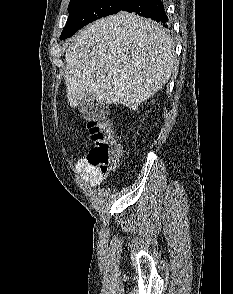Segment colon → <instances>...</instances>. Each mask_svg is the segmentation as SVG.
<instances>
[{
	"mask_svg": "<svg viewBox=\"0 0 233 294\" xmlns=\"http://www.w3.org/2000/svg\"><path fill=\"white\" fill-rule=\"evenodd\" d=\"M93 146L87 153L90 166L101 174L114 168L121 155V145L117 142L113 126L107 121L92 120L87 123Z\"/></svg>",
	"mask_w": 233,
	"mask_h": 294,
	"instance_id": "5ec220e1",
	"label": "colon"
}]
</instances>
